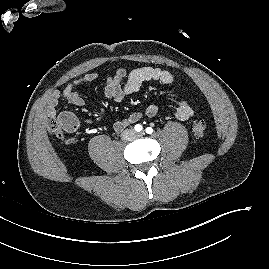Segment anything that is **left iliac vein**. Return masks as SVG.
Listing matches in <instances>:
<instances>
[{"label":"left iliac vein","instance_id":"1","mask_svg":"<svg viewBox=\"0 0 269 269\" xmlns=\"http://www.w3.org/2000/svg\"><path fill=\"white\" fill-rule=\"evenodd\" d=\"M143 133L138 134V136H142Z\"/></svg>","mask_w":269,"mask_h":269}]
</instances>
